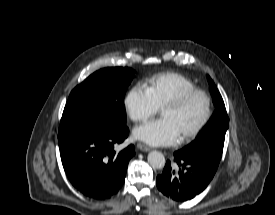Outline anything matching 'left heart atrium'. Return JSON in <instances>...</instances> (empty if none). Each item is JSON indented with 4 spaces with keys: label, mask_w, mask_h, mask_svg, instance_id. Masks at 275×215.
<instances>
[{
    "label": "left heart atrium",
    "mask_w": 275,
    "mask_h": 215,
    "mask_svg": "<svg viewBox=\"0 0 275 215\" xmlns=\"http://www.w3.org/2000/svg\"><path fill=\"white\" fill-rule=\"evenodd\" d=\"M133 134L135 138L154 146L173 145L181 138L175 125L166 118L136 127Z\"/></svg>",
    "instance_id": "obj_1"
}]
</instances>
